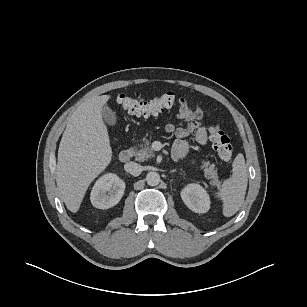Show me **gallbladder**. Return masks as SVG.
<instances>
[{
  "instance_id": "1",
  "label": "gallbladder",
  "mask_w": 307,
  "mask_h": 307,
  "mask_svg": "<svg viewBox=\"0 0 307 307\" xmlns=\"http://www.w3.org/2000/svg\"><path fill=\"white\" fill-rule=\"evenodd\" d=\"M102 116L104 121L110 126H113L117 123V117L115 112L108 106L103 107Z\"/></svg>"
}]
</instances>
